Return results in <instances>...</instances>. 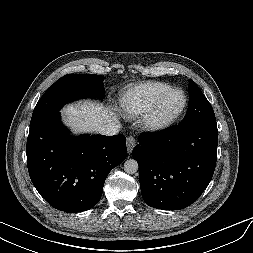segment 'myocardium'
<instances>
[{
    "mask_svg": "<svg viewBox=\"0 0 253 253\" xmlns=\"http://www.w3.org/2000/svg\"><path fill=\"white\" fill-rule=\"evenodd\" d=\"M173 93H180L183 98L180 109L172 116L162 119L159 117L158 112L163 101ZM188 100L186 93L180 88H170L162 93L152 104L148 112L143 118L144 128L151 133H160L171 128L184 114L187 108Z\"/></svg>",
    "mask_w": 253,
    "mask_h": 253,
    "instance_id": "f54148a6",
    "label": "myocardium"
}]
</instances>
